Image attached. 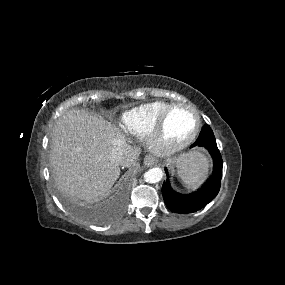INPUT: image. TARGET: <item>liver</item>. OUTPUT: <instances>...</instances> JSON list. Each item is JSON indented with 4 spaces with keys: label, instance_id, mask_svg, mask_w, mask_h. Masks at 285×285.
I'll return each instance as SVG.
<instances>
[{
    "label": "liver",
    "instance_id": "1",
    "mask_svg": "<svg viewBox=\"0 0 285 285\" xmlns=\"http://www.w3.org/2000/svg\"><path fill=\"white\" fill-rule=\"evenodd\" d=\"M113 152H121L122 166L128 168L138 158V151L110 122L84 110L66 112L52 133L50 160L57 185L86 203L106 197L120 175Z\"/></svg>",
    "mask_w": 285,
    "mask_h": 285
}]
</instances>
